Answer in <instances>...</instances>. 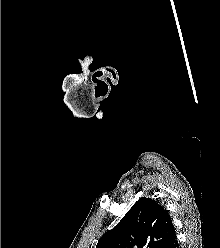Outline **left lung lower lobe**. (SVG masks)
<instances>
[{"instance_id": "1", "label": "left lung lower lobe", "mask_w": 220, "mask_h": 248, "mask_svg": "<svg viewBox=\"0 0 220 248\" xmlns=\"http://www.w3.org/2000/svg\"><path fill=\"white\" fill-rule=\"evenodd\" d=\"M163 248H179V244H178V241H177L175 230L173 231V233L171 234L169 240L165 243Z\"/></svg>"}]
</instances>
